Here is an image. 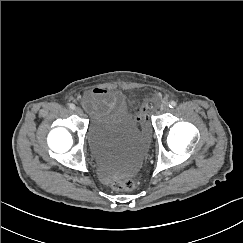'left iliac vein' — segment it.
<instances>
[{
    "instance_id": "left-iliac-vein-1",
    "label": "left iliac vein",
    "mask_w": 243,
    "mask_h": 243,
    "mask_svg": "<svg viewBox=\"0 0 243 243\" xmlns=\"http://www.w3.org/2000/svg\"><path fill=\"white\" fill-rule=\"evenodd\" d=\"M160 111L161 112H167V111H169V106L166 105V104L165 105H162L161 108H160Z\"/></svg>"
}]
</instances>
